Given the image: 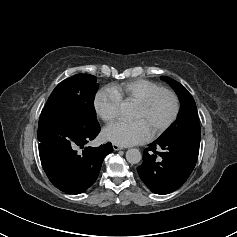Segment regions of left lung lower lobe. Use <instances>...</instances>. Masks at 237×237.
<instances>
[{"instance_id":"1","label":"left lung lower lobe","mask_w":237,"mask_h":237,"mask_svg":"<svg viewBox=\"0 0 237 237\" xmlns=\"http://www.w3.org/2000/svg\"><path fill=\"white\" fill-rule=\"evenodd\" d=\"M200 139H157L143 152V163L137 168L145 185L156 194H168L181 187L193 171ZM161 148L162 152L156 151Z\"/></svg>"}]
</instances>
